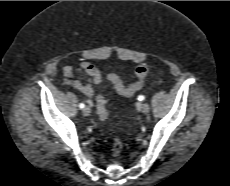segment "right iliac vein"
<instances>
[{"label":"right iliac vein","mask_w":230,"mask_h":186,"mask_svg":"<svg viewBox=\"0 0 230 186\" xmlns=\"http://www.w3.org/2000/svg\"><path fill=\"white\" fill-rule=\"evenodd\" d=\"M90 113H91L90 107H88V106L84 107V109H83V114H84L85 116H89Z\"/></svg>","instance_id":"obj_1"}]
</instances>
